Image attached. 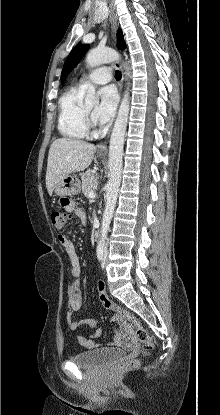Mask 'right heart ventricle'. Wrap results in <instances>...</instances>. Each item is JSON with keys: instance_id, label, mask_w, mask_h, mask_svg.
Returning <instances> with one entry per match:
<instances>
[{"instance_id": "obj_1", "label": "right heart ventricle", "mask_w": 220, "mask_h": 415, "mask_svg": "<svg viewBox=\"0 0 220 415\" xmlns=\"http://www.w3.org/2000/svg\"><path fill=\"white\" fill-rule=\"evenodd\" d=\"M57 128L61 135L83 139L88 133L82 104V90L69 88L59 99Z\"/></svg>"}]
</instances>
